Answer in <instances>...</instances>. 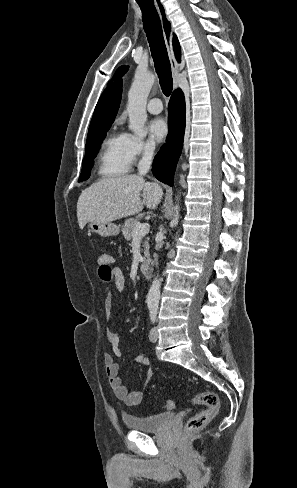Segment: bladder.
Segmentation results:
<instances>
[{
  "mask_svg": "<svg viewBox=\"0 0 297 488\" xmlns=\"http://www.w3.org/2000/svg\"><path fill=\"white\" fill-rule=\"evenodd\" d=\"M173 418L174 414L172 412H164L147 417H138L131 414L122 416L123 423L127 428L142 432H159L166 428Z\"/></svg>",
  "mask_w": 297,
  "mask_h": 488,
  "instance_id": "obj_1",
  "label": "bladder"
}]
</instances>
